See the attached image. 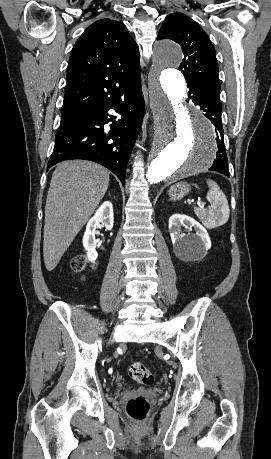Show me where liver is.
<instances>
[{
	"label": "liver",
	"mask_w": 271,
	"mask_h": 459,
	"mask_svg": "<svg viewBox=\"0 0 271 459\" xmlns=\"http://www.w3.org/2000/svg\"><path fill=\"white\" fill-rule=\"evenodd\" d=\"M106 168L86 160L61 162L51 178L45 206L43 257L46 269L59 263L108 190Z\"/></svg>",
	"instance_id": "1"
}]
</instances>
